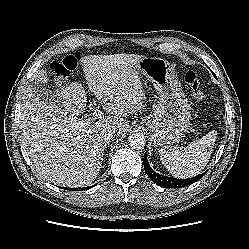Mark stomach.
<instances>
[{"label":"stomach","instance_id":"obj_1","mask_svg":"<svg viewBox=\"0 0 249 249\" xmlns=\"http://www.w3.org/2000/svg\"><path fill=\"white\" fill-rule=\"evenodd\" d=\"M134 69L149 80L159 94L157 108L143 120L152 131L153 143L166 146L179 142L188 130L191 113L173 66L163 58L145 56Z\"/></svg>","mask_w":249,"mask_h":249}]
</instances>
